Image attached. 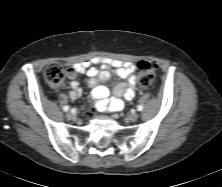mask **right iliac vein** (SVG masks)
<instances>
[{
	"mask_svg": "<svg viewBox=\"0 0 222 187\" xmlns=\"http://www.w3.org/2000/svg\"><path fill=\"white\" fill-rule=\"evenodd\" d=\"M66 118H67V119H72V118H73L72 112H70V111L67 112V113H66Z\"/></svg>",
	"mask_w": 222,
	"mask_h": 187,
	"instance_id": "obj_1",
	"label": "right iliac vein"
}]
</instances>
